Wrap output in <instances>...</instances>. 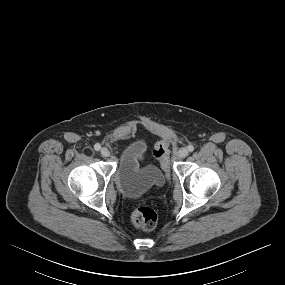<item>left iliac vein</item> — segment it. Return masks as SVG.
Instances as JSON below:
<instances>
[{
  "label": "left iliac vein",
  "mask_w": 285,
  "mask_h": 285,
  "mask_svg": "<svg viewBox=\"0 0 285 285\" xmlns=\"http://www.w3.org/2000/svg\"><path fill=\"white\" fill-rule=\"evenodd\" d=\"M177 155H178L179 158H185L188 155V149L187 148H181L178 151Z\"/></svg>",
  "instance_id": "1"
}]
</instances>
